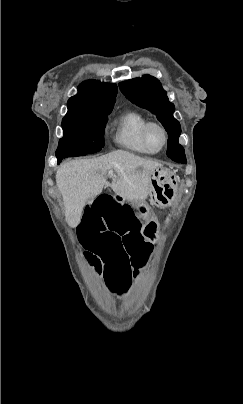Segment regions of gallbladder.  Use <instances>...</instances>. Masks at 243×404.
I'll return each instance as SVG.
<instances>
[{
    "instance_id": "bac80fb5",
    "label": "gallbladder",
    "mask_w": 243,
    "mask_h": 404,
    "mask_svg": "<svg viewBox=\"0 0 243 404\" xmlns=\"http://www.w3.org/2000/svg\"><path fill=\"white\" fill-rule=\"evenodd\" d=\"M92 200H94V198H91V200H89V202H92Z\"/></svg>"
}]
</instances>
